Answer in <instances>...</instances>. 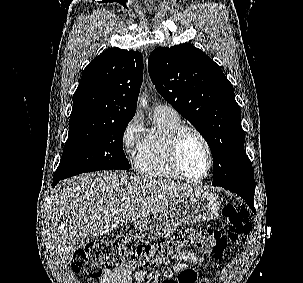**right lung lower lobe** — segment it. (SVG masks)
Masks as SVG:
<instances>
[{
  "label": "right lung lower lobe",
  "mask_w": 303,
  "mask_h": 283,
  "mask_svg": "<svg viewBox=\"0 0 303 283\" xmlns=\"http://www.w3.org/2000/svg\"><path fill=\"white\" fill-rule=\"evenodd\" d=\"M65 179L63 176H54L53 186H55L60 180Z\"/></svg>",
  "instance_id": "1"
}]
</instances>
